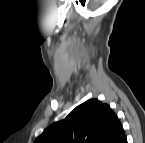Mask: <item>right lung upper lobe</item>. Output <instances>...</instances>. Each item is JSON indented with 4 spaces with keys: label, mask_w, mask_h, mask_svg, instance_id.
Masks as SVG:
<instances>
[{
    "label": "right lung upper lobe",
    "mask_w": 145,
    "mask_h": 143,
    "mask_svg": "<svg viewBox=\"0 0 145 143\" xmlns=\"http://www.w3.org/2000/svg\"><path fill=\"white\" fill-rule=\"evenodd\" d=\"M117 115L97 99L77 106L61 121L51 124L34 143H126Z\"/></svg>",
    "instance_id": "1"
}]
</instances>
